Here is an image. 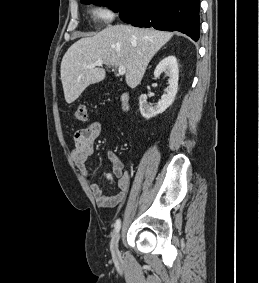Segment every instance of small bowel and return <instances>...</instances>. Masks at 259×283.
Returning a JSON list of instances; mask_svg holds the SVG:
<instances>
[{"instance_id":"small-bowel-1","label":"small bowel","mask_w":259,"mask_h":283,"mask_svg":"<svg viewBox=\"0 0 259 283\" xmlns=\"http://www.w3.org/2000/svg\"><path fill=\"white\" fill-rule=\"evenodd\" d=\"M101 131L102 123L93 121L74 134L72 158L79 171L89 179L94 177V173L86 166V161L94 153V143ZM106 157L112 164V173L108 179H117L120 191L114 196H108L98 183H92L90 187L100 207H114L126 199L130 189L131 173L124 170V164L115 151L107 150Z\"/></svg>"}]
</instances>
